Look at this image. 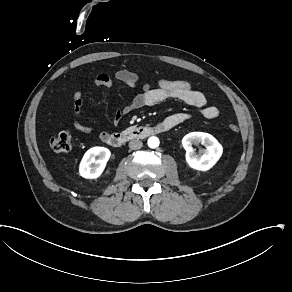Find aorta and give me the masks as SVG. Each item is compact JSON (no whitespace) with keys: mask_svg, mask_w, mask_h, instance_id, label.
Masks as SVG:
<instances>
[{"mask_svg":"<svg viewBox=\"0 0 292 292\" xmlns=\"http://www.w3.org/2000/svg\"><path fill=\"white\" fill-rule=\"evenodd\" d=\"M148 146L150 148H157L159 146V139L157 137H150L148 139Z\"/></svg>","mask_w":292,"mask_h":292,"instance_id":"obj_1","label":"aorta"}]
</instances>
